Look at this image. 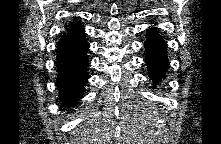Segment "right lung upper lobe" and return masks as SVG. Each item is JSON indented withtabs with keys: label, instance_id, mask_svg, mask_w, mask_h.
Returning a JSON list of instances; mask_svg holds the SVG:
<instances>
[{
	"label": "right lung upper lobe",
	"instance_id": "1",
	"mask_svg": "<svg viewBox=\"0 0 221 144\" xmlns=\"http://www.w3.org/2000/svg\"><path fill=\"white\" fill-rule=\"evenodd\" d=\"M79 24H80L79 22H73V23H71V25H70L69 27L65 26V28H66L67 30H69V29L74 28L75 26H77V25H79Z\"/></svg>",
	"mask_w": 221,
	"mask_h": 144
}]
</instances>
